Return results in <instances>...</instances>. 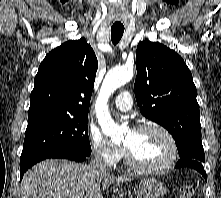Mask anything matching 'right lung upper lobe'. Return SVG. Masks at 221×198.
<instances>
[{
  "label": "right lung upper lobe",
  "mask_w": 221,
  "mask_h": 198,
  "mask_svg": "<svg viewBox=\"0 0 221 198\" xmlns=\"http://www.w3.org/2000/svg\"><path fill=\"white\" fill-rule=\"evenodd\" d=\"M98 61L84 38L53 49L41 62L30 95L28 122L88 116Z\"/></svg>",
  "instance_id": "1"
}]
</instances>
